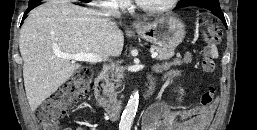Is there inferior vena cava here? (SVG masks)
Returning <instances> with one entry per match:
<instances>
[{
	"label": "inferior vena cava",
	"mask_w": 257,
	"mask_h": 130,
	"mask_svg": "<svg viewBox=\"0 0 257 130\" xmlns=\"http://www.w3.org/2000/svg\"><path fill=\"white\" fill-rule=\"evenodd\" d=\"M102 14L107 18L109 27L111 29L116 28V23L112 21L113 18H120V12L116 6L110 7L102 12ZM105 69L114 70V64L110 66H105Z\"/></svg>",
	"instance_id": "602c4592"
}]
</instances>
